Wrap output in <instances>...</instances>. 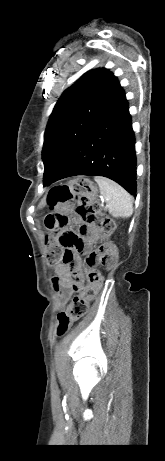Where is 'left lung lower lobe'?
Wrapping results in <instances>:
<instances>
[{
  "label": "left lung lower lobe",
  "instance_id": "1",
  "mask_svg": "<svg viewBox=\"0 0 165 461\" xmlns=\"http://www.w3.org/2000/svg\"><path fill=\"white\" fill-rule=\"evenodd\" d=\"M76 175L110 178L135 195V138L122 89L84 135L50 184Z\"/></svg>",
  "mask_w": 165,
  "mask_h": 461
}]
</instances>
